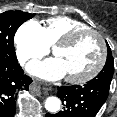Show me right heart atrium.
<instances>
[{
    "label": "right heart atrium",
    "mask_w": 117,
    "mask_h": 117,
    "mask_svg": "<svg viewBox=\"0 0 117 117\" xmlns=\"http://www.w3.org/2000/svg\"><path fill=\"white\" fill-rule=\"evenodd\" d=\"M14 43L18 60L23 65L38 60L49 51L42 35L41 25L34 20L27 21L19 27Z\"/></svg>",
    "instance_id": "d8ad5b80"
}]
</instances>
